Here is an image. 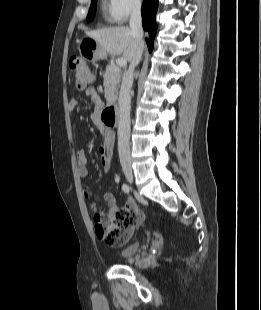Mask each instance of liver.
Wrapping results in <instances>:
<instances>
[{"instance_id":"liver-1","label":"liver","mask_w":261,"mask_h":310,"mask_svg":"<svg viewBox=\"0 0 261 310\" xmlns=\"http://www.w3.org/2000/svg\"><path fill=\"white\" fill-rule=\"evenodd\" d=\"M87 35L99 43L104 54H122L130 62L137 52L138 43L129 27H111L90 31Z\"/></svg>"}]
</instances>
